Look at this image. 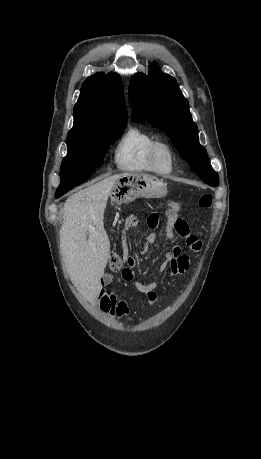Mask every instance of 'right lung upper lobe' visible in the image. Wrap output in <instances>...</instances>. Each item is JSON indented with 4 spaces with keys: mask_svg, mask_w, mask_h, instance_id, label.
I'll use <instances>...</instances> for the list:
<instances>
[{
    "mask_svg": "<svg viewBox=\"0 0 261 459\" xmlns=\"http://www.w3.org/2000/svg\"><path fill=\"white\" fill-rule=\"evenodd\" d=\"M127 119L119 75L96 73L82 85L80 97L74 106V126L67 138L97 127L124 124Z\"/></svg>",
    "mask_w": 261,
    "mask_h": 459,
    "instance_id": "1",
    "label": "right lung upper lobe"
}]
</instances>
